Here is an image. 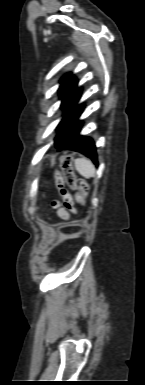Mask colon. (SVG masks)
I'll return each mask as SVG.
<instances>
[{"label": "colon", "instance_id": "obj_1", "mask_svg": "<svg viewBox=\"0 0 145 385\" xmlns=\"http://www.w3.org/2000/svg\"><path fill=\"white\" fill-rule=\"evenodd\" d=\"M60 161L61 172H54L55 184L60 196L63 199L65 208L75 214L77 210L74 206V202L80 206H85L88 186L84 180L75 175L70 155H62ZM70 191L75 192L74 197Z\"/></svg>", "mask_w": 145, "mask_h": 385}]
</instances>
